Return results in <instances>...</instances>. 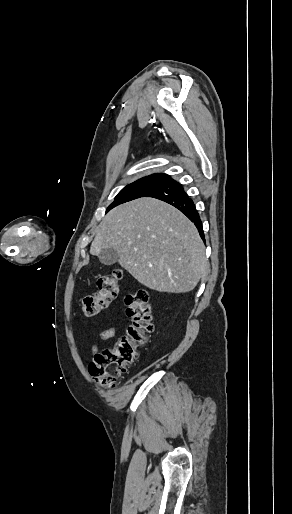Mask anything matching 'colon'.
I'll use <instances>...</instances> for the list:
<instances>
[{"label":"colon","instance_id":"1","mask_svg":"<svg viewBox=\"0 0 292 514\" xmlns=\"http://www.w3.org/2000/svg\"><path fill=\"white\" fill-rule=\"evenodd\" d=\"M121 279L120 270H113L101 276L97 280L98 291L82 298L84 315H100L118 297ZM126 308L132 320L128 334L121 336L115 345L96 354L88 366L90 375L107 389L117 385L127 366L137 358V351L146 344L148 333L153 330L152 306L148 291H131L126 299Z\"/></svg>","mask_w":292,"mask_h":514}]
</instances>
